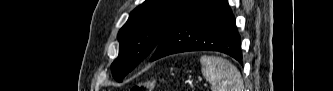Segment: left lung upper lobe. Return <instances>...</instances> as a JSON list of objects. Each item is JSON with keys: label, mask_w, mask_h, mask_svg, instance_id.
<instances>
[{"label": "left lung upper lobe", "mask_w": 333, "mask_h": 91, "mask_svg": "<svg viewBox=\"0 0 333 91\" xmlns=\"http://www.w3.org/2000/svg\"><path fill=\"white\" fill-rule=\"evenodd\" d=\"M198 0H146L135 8L118 33L119 55L111 65L114 79H122L149 57L172 27Z\"/></svg>", "instance_id": "5c2ea615"}]
</instances>
